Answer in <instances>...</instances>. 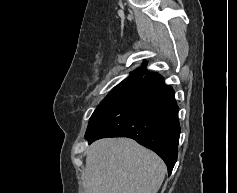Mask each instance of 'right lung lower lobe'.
Returning a JSON list of instances; mask_svg holds the SVG:
<instances>
[{"instance_id":"obj_1","label":"right lung lower lobe","mask_w":237,"mask_h":193,"mask_svg":"<svg viewBox=\"0 0 237 193\" xmlns=\"http://www.w3.org/2000/svg\"><path fill=\"white\" fill-rule=\"evenodd\" d=\"M178 110L173 89L158 73L146 72L128 97L91 116L85 137L90 143L105 137L132 138L156 152L170 175L178 156Z\"/></svg>"}]
</instances>
